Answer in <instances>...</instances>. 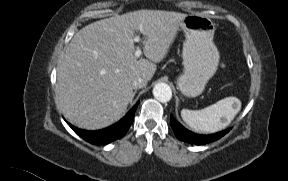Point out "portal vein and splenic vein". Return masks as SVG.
<instances>
[{
  "instance_id": "portal-vein-and-splenic-vein-1",
  "label": "portal vein and splenic vein",
  "mask_w": 288,
  "mask_h": 181,
  "mask_svg": "<svg viewBox=\"0 0 288 181\" xmlns=\"http://www.w3.org/2000/svg\"><path fill=\"white\" fill-rule=\"evenodd\" d=\"M139 40H140L139 37H135V38H134V41H135V42H138ZM141 53H142V51H141L140 47H137V49H136V51H135V53H134V56H135L136 58H139L140 55H141Z\"/></svg>"
}]
</instances>
